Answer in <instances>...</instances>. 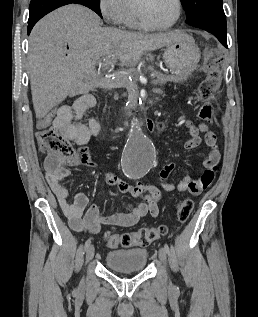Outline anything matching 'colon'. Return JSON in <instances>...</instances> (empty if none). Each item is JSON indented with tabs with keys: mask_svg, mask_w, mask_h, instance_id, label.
Instances as JSON below:
<instances>
[{
	"mask_svg": "<svg viewBox=\"0 0 258 317\" xmlns=\"http://www.w3.org/2000/svg\"><path fill=\"white\" fill-rule=\"evenodd\" d=\"M217 83L218 76L215 72H212L203 80L197 90L196 98L201 103L198 107L197 115L201 120L211 122L217 115L216 107L209 103V100L214 95ZM51 114L49 113L43 120L50 118ZM157 128L161 130L163 124H158ZM37 140L42 152L56 156L66 164L78 165L86 156L85 149L75 147L55 128H43L38 133ZM193 208L194 203L191 199L180 201L176 208L177 219L185 222L191 215ZM167 232L168 228L162 225L157 228L144 227L135 232H124L121 234L106 232L104 238L110 248L145 247L166 235Z\"/></svg>",
	"mask_w": 258,
	"mask_h": 317,
	"instance_id": "colon-1",
	"label": "colon"
}]
</instances>
